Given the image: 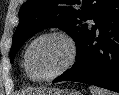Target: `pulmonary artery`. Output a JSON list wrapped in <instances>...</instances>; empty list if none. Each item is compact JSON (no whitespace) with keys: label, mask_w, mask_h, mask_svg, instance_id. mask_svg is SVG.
Returning <instances> with one entry per match:
<instances>
[{"label":"pulmonary artery","mask_w":119,"mask_h":95,"mask_svg":"<svg viewBox=\"0 0 119 95\" xmlns=\"http://www.w3.org/2000/svg\"><path fill=\"white\" fill-rule=\"evenodd\" d=\"M90 22H91L92 24H94V21H93V20H90Z\"/></svg>","instance_id":"1"}]
</instances>
